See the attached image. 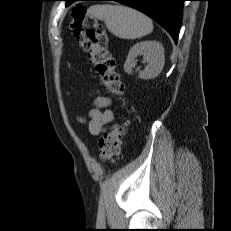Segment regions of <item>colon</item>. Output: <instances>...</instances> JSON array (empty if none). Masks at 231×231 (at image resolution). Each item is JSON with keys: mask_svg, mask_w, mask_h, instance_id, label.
<instances>
[{"mask_svg": "<svg viewBox=\"0 0 231 231\" xmlns=\"http://www.w3.org/2000/svg\"><path fill=\"white\" fill-rule=\"evenodd\" d=\"M71 18V31L88 52V62L92 71L112 95L123 96L125 88L116 71L115 60L108 49V37L104 27L83 5H75L71 9ZM125 129L124 123H115L100 137L98 145L100 158L111 159L119 155Z\"/></svg>", "mask_w": 231, "mask_h": 231, "instance_id": "obj_1", "label": "colon"}]
</instances>
